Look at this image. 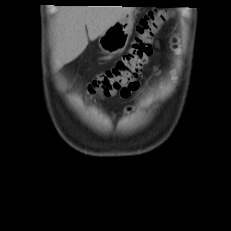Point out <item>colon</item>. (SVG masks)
I'll return each mask as SVG.
<instances>
[{
	"instance_id": "1",
	"label": "colon",
	"mask_w": 231,
	"mask_h": 231,
	"mask_svg": "<svg viewBox=\"0 0 231 231\" xmlns=\"http://www.w3.org/2000/svg\"><path fill=\"white\" fill-rule=\"evenodd\" d=\"M166 17L163 11H151L143 16L136 27L137 35L129 51L113 67L100 73L91 82L90 93L108 97L135 82L152 55L153 36Z\"/></svg>"
}]
</instances>
